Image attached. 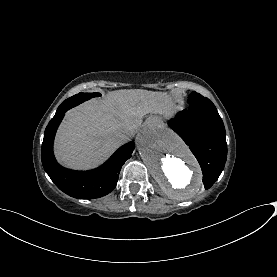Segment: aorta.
Masks as SVG:
<instances>
[{
    "label": "aorta",
    "instance_id": "762f6f07",
    "mask_svg": "<svg viewBox=\"0 0 277 277\" xmlns=\"http://www.w3.org/2000/svg\"><path fill=\"white\" fill-rule=\"evenodd\" d=\"M139 153L162 190L176 200L194 198L202 188L201 169L186 144L171 130L149 126L136 138Z\"/></svg>",
    "mask_w": 277,
    "mask_h": 277
}]
</instances>
